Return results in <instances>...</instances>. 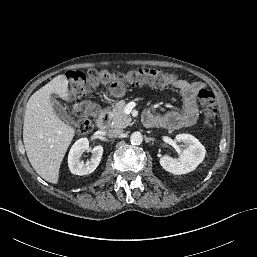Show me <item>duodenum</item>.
<instances>
[{
  "label": "duodenum",
  "instance_id": "410a0bca",
  "mask_svg": "<svg viewBox=\"0 0 257 257\" xmlns=\"http://www.w3.org/2000/svg\"><path fill=\"white\" fill-rule=\"evenodd\" d=\"M109 125V110L103 109L98 118V127L100 129H106Z\"/></svg>",
  "mask_w": 257,
  "mask_h": 257
}]
</instances>
